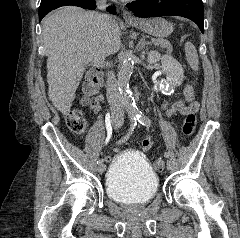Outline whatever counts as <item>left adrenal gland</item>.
<instances>
[{
    "label": "left adrenal gland",
    "instance_id": "1",
    "mask_svg": "<svg viewBox=\"0 0 240 238\" xmlns=\"http://www.w3.org/2000/svg\"><path fill=\"white\" fill-rule=\"evenodd\" d=\"M151 42L145 41V37L143 36L139 42L140 50H143L146 46L150 45ZM142 54H145V51L142 52Z\"/></svg>",
    "mask_w": 240,
    "mask_h": 238
}]
</instances>
